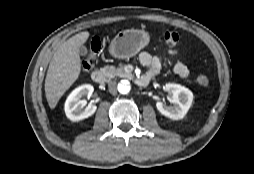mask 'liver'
<instances>
[{
  "mask_svg": "<svg viewBox=\"0 0 254 174\" xmlns=\"http://www.w3.org/2000/svg\"><path fill=\"white\" fill-rule=\"evenodd\" d=\"M89 36L87 31L80 32L61 44L54 53L45 79V95L51 109L78 79L81 72L79 48Z\"/></svg>",
  "mask_w": 254,
  "mask_h": 174,
  "instance_id": "obj_1",
  "label": "liver"
}]
</instances>
